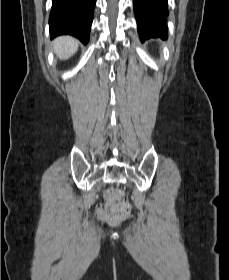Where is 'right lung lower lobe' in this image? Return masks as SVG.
I'll use <instances>...</instances> for the list:
<instances>
[{
	"mask_svg": "<svg viewBox=\"0 0 229 280\" xmlns=\"http://www.w3.org/2000/svg\"><path fill=\"white\" fill-rule=\"evenodd\" d=\"M96 0H52L49 17L51 38L69 34L82 43L89 41Z\"/></svg>",
	"mask_w": 229,
	"mask_h": 280,
	"instance_id": "1",
	"label": "right lung lower lobe"
}]
</instances>
